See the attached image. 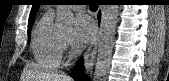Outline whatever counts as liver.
I'll return each mask as SVG.
<instances>
[{
  "instance_id": "liver-1",
  "label": "liver",
  "mask_w": 169,
  "mask_h": 81,
  "mask_svg": "<svg viewBox=\"0 0 169 81\" xmlns=\"http://www.w3.org/2000/svg\"><path fill=\"white\" fill-rule=\"evenodd\" d=\"M27 81H71V78L61 72H45L33 65L26 66Z\"/></svg>"
}]
</instances>
